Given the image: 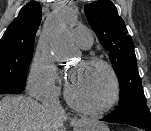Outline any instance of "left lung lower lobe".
<instances>
[{"label":"left lung lower lobe","instance_id":"left-lung-lower-lobe-1","mask_svg":"<svg viewBox=\"0 0 151 131\" xmlns=\"http://www.w3.org/2000/svg\"><path fill=\"white\" fill-rule=\"evenodd\" d=\"M110 123L128 124L151 131V113L147 102L135 99L123 107H118L103 118Z\"/></svg>","mask_w":151,"mask_h":131}]
</instances>
